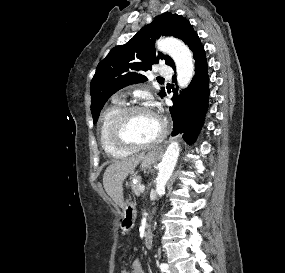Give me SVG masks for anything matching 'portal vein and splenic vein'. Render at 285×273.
Returning <instances> with one entry per match:
<instances>
[{
    "instance_id": "18ae733b",
    "label": "portal vein and splenic vein",
    "mask_w": 285,
    "mask_h": 273,
    "mask_svg": "<svg viewBox=\"0 0 285 273\" xmlns=\"http://www.w3.org/2000/svg\"><path fill=\"white\" fill-rule=\"evenodd\" d=\"M139 190L140 191H144L145 190V186L144 185H140Z\"/></svg>"
}]
</instances>
